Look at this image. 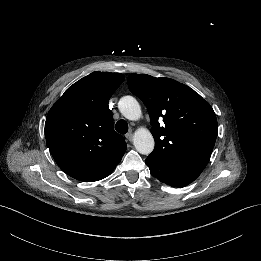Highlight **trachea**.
I'll return each mask as SVG.
<instances>
[{"label": "trachea", "mask_w": 261, "mask_h": 261, "mask_svg": "<svg viewBox=\"0 0 261 261\" xmlns=\"http://www.w3.org/2000/svg\"><path fill=\"white\" fill-rule=\"evenodd\" d=\"M115 129L121 134H126L128 132V123L121 119L116 123Z\"/></svg>", "instance_id": "1"}]
</instances>
